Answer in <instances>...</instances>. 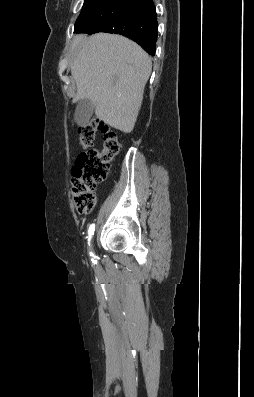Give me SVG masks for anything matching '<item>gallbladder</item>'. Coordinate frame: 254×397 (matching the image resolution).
I'll list each match as a JSON object with an SVG mask.
<instances>
[{"mask_svg": "<svg viewBox=\"0 0 254 397\" xmlns=\"http://www.w3.org/2000/svg\"><path fill=\"white\" fill-rule=\"evenodd\" d=\"M93 114V104L89 99H81L76 107L74 120L79 126H84L88 123Z\"/></svg>", "mask_w": 254, "mask_h": 397, "instance_id": "obj_1", "label": "gallbladder"}]
</instances>
